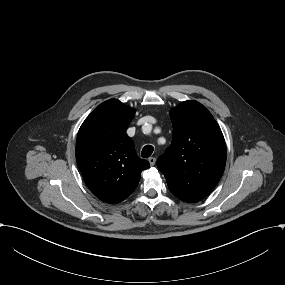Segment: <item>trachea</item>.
Here are the masks:
<instances>
[{
    "label": "trachea",
    "mask_w": 285,
    "mask_h": 285,
    "mask_svg": "<svg viewBox=\"0 0 285 285\" xmlns=\"http://www.w3.org/2000/svg\"><path fill=\"white\" fill-rule=\"evenodd\" d=\"M154 148L153 146L151 145H146L143 149H142V152H141V156L143 158H147V157H150L152 152H153Z\"/></svg>",
    "instance_id": "trachea-1"
}]
</instances>
